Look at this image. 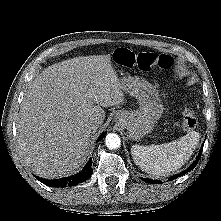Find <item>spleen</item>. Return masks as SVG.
<instances>
[{
    "instance_id": "3e777b00",
    "label": "spleen",
    "mask_w": 221,
    "mask_h": 221,
    "mask_svg": "<svg viewBox=\"0 0 221 221\" xmlns=\"http://www.w3.org/2000/svg\"><path fill=\"white\" fill-rule=\"evenodd\" d=\"M200 135L191 131L178 140L160 145H134V163L153 176H167L180 169L191 157Z\"/></svg>"
}]
</instances>
